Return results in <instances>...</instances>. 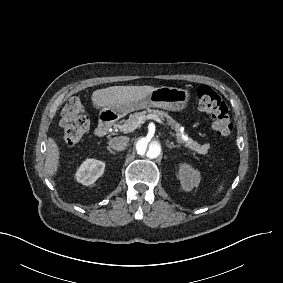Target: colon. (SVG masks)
I'll return each instance as SVG.
<instances>
[{
  "label": "colon",
  "instance_id": "obj_1",
  "mask_svg": "<svg viewBox=\"0 0 283 283\" xmlns=\"http://www.w3.org/2000/svg\"><path fill=\"white\" fill-rule=\"evenodd\" d=\"M198 107L209 114L217 136H229L232 131L229 109L219 93L207 85L197 91ZM62 139L65 145L75 146L89 130V120L79 99H71L61 112Z\"/></svg>",
  "mask_w": 283,
  "mask_h": 283
}]
</instances>
